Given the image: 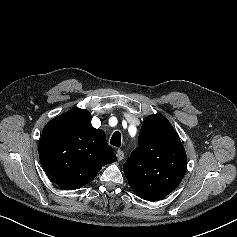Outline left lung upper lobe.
I'll use <instances>...</instances> for the list:
<instances>
[{"instance_id": "5c2ea615", "label": "left lung upper lobe", "mask_w": 237, "mask_h": 237, "mask_svg": "<svg viewBox=\"0 0 237 237\" xmlns=\"http://www.w3.org/2000/svg\"><path fill=\"white\" fill-rule=\"evenodd\" d=\"M187 157L180 138L162 115H151L143 122L139 146L123 165L132 190L141 198L161 200L181 182Z\"/></svg>"}]
</instances>
